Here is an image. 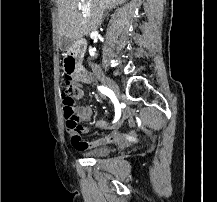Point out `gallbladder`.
Here are the masks:
<instances>
[{"label": "gallbladder", "mask_w": 217, "mask_h": 202, "mask_svg": "<svg viewBox=\"0 0 217 202\" xmlns=\"http://www.w3.org/2000/svg\"><path fill=\"white\" fill-rule=\"evenodd\" d=\"M70 39L69 38H66V36H61L60 38V50L61 51H68V47L71 46V43H70Z\"/></svg>", "instance_id": "gallbladder-1"}]
</instances>
